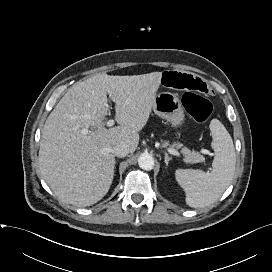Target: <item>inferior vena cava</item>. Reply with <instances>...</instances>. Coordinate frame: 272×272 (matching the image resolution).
Listing matches in <instances>:
<instances>
[{
	"instance_id": "obj_1",
	"label": "inferior vena cava",
	"mask_w": 272,
	"mask_h": 272,
	"mask_svg": "<svg viewBox=\"0 0 272 272\" xmlns=\"http://www.w3.org/2000/svg\"><path fill=\"white\" fill-rule=\"evenodd\" d=\"M129 152V147L126 144H118L112 149V153L117 157H125Z\"/></svg>"
}]
</instances>
